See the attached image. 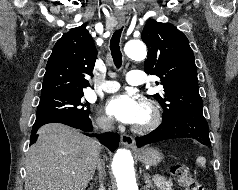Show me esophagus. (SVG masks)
Here are the masks:
<instances>
[{
    "label": "esophagus",
    "mask_w": 238,
    "mask_h": 190,
    "mask_svg": "<svg viewBox=\"0 0 238 190\" xmlns=\"http://www.w3.org/2000/svg\"><path fill=\"white\" fill-rule=\"evenodd\" d=\"M124 23H125L124 18H118L117 19V26L118 27L123 26ZM120 140H121V144L123 146H127V147H132L134 145V142H135L134 138L132 136L128 135V134H122L120 136Z\"/></svg>",
    "instance_id": "1"
}]
</instances>
